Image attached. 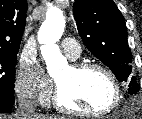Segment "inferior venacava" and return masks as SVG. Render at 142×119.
I'll return each instance as SVG.
<instances>
[{"instance_id": "1", "label": "inferior vena cava", "mask_w": 142, "mask_h": 119, "mask_svg": "<svg viewBox=\"0 0 142 119\" xmlns=\"http://www.w3.org/2000/svg\"><path fill=\"white\" fill-rule=\"evenodd\" d=\"M36 102L33 95L18 96V115L17 119H34Z\"/></svg>"}]
</instances>
